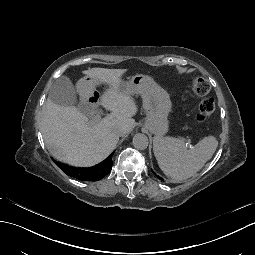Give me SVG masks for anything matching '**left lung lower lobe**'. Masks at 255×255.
Returning <instances> with one entry per match:
<instances>
[{
  "mask_svg": "<svg viewBox=\"0 0 255 255\" xmlns=\"http://www.w3.org/2000/svg\"><path fill=\"white\" fill-rule=\"evenodd\" d=\"M152 176L158 178V181L162 182L164 185H170V180L161 176V173L157 172V170H152Z\"/></svg>",
  "mask_w": 255,
  "mask_h": 255,
  "instance_id": "0a47b994",
  "label": "left lung lower lobe"
}]
</instances>
